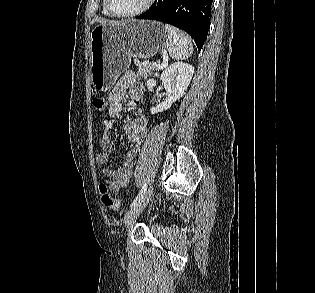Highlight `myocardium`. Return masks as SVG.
<instances>
[{
  "label": "myocardium",
  "instance_id": "1",
  "mask_svg": "<svg viewBox=\"0 0 315 293\" xmlns=\"http://www.w3.org/2000/svg\"><path fill=\"white\" fill-rule=\"evenodd\" d=\"M106 2V7L107 10L109 11V13L114 16V17H121V18H127V17H134V16H138L141 15L143 13H145L146 11H148L152 5L154 4L155 0H147L146 3L138 10L133 11V12H128V13H120L117 12L112 5V0H105Z\"/></svg>",
  "mask_w": 315,
  "mask_h": 293
}]
</instances>
